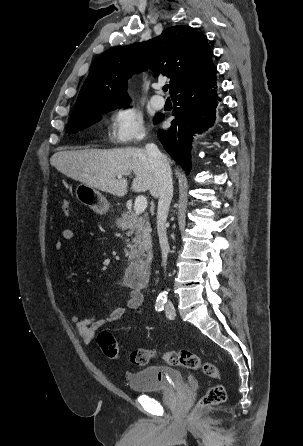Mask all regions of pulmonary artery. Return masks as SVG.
Masks as SVG:
<instances>
[{
	"label": "pulmonary artery",
	"mask_w": 303,
	"mask_h": 446,
	"mask_svg": "<svg viewBox=\"0 0 303 446\" xmlns=\"http://www.w3.org/2000/svg\"><path fill=\"white\" fill-rule=\"evenodd\" d=\"M151 104L154 108L161 109L165 104V100L162 96L155 94L151 97Z\"/></svg>",
	"instance_id": "1"
}]
</instances>
